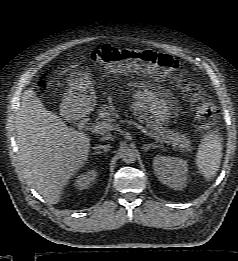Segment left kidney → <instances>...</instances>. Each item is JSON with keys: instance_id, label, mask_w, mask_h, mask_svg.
Returning <instances> with one entry per match:
<instances>
[{"instance_id": "5707ae66", "label": "left kidney", "mask_w": 238, "mask_h": 261, "mask_svg": "<svg viewBox=\"0 0 238 261\" xmlns=\"http://www.w3.org/2000/svg\"><path fill=\"white\" fill-rule=\"evenodd\" d=\"M154 173L159 181L170 188L181 190L187 183V162L186 160L156 155L153 159Z\"/></svg>"}]
</instances>
